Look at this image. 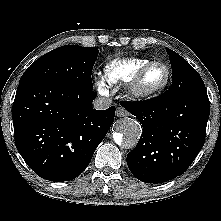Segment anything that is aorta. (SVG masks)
I'll list each match as a JSON object with an SVG mask.
<instances>
[{"mask_svg": "<svg viewBox=\"0 0 221 221\" xmlns=\"http://www.w3.org/2000/svg\"><path fill=\"white\" fill-rule=\"evenodd\" d=\"M141 133L140 123L135 119L125 117L116 122L113 138L117 145L132 149L138 143Z\"/></svg>", "mask_w": 221, "mask_h": 221, "instance_id": "obj_1", "label": "aorta"}]
</instances>
